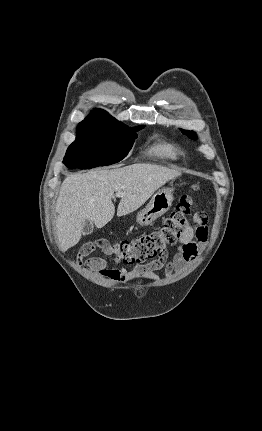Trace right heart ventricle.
I'll list each match as a JSON object with an SVG mask.
<instances>
[{"mask_svg": "<svg viewBox=\"0 0 262 431\" xmlns=\"http://www.w3.org/2000/svg\"><path fill=\"white\" fill-rule=\"evenodd\" d=\"M150 154L172 163L181 162L185 159L184 152L177 145L166 141L154 143L150 148Z\"/></svg>", "mask_w": 262, "mask_h": 431, "instance_id": "obj_1", "label": "right heart ventricle"}]
</instances>
